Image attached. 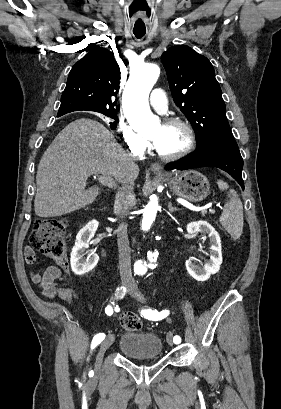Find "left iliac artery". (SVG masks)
Wrapping results in <instances>:
<instances>
[{"instance_id":"1","label":"left iliac artery","mask_w":281,"mask_h":409,"mask_svg":"<svg viewBox=\"0 0 281 409\" xmlns=\"http://www.w3.org/2000/svg\"><path fill=\"white\" fill-rule=\"evenodd\" d=\"M141 314L148 320H161L168 316L169 311L164 310V311L158 312L157 310H153V309H143L141 310ZM173 341L176 344L180 343L181 342L180 336H177V335L174 336Z\"/></svg>"}]
</instances>
